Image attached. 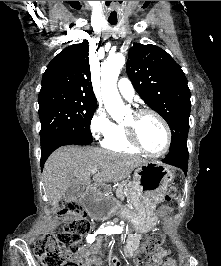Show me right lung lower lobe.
Here are the masks:
<instances>
[{"label": "right lung lower lobe", "mask_w": 221, "mask_h": 266, "mask_svg": "<svg viewBox=\"0 0 221 266\" xmlns=\"http://www.w3.org/2000/svg\"><path fill=\"white\" fill-rule=\"evenodd\" d=\"M71 144H77V145H88L87 142L82 141L81 139L77 138H62L57 143L46 146L44 148H41V168H43L44 163L46 159L49 157V155L57 148L64 146V145H71Z\"/></svg>", "instance_id": "1"}]
</instances>
